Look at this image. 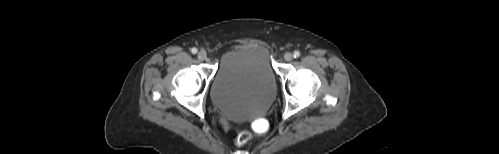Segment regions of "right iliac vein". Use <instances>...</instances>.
Segmentation results:
<instances>
[{
  "mask_svg": "<svg viewBox=\"0 0 499 154\" xmlns=\"http://www.w3.org/2000/svg\"><path fill=\"white\" fill-rule=\"evenodd\" d=\"M197 56L200 61H204L207 59V54L204 51H200Z\"/></svg>",
  "mask_w": 499,
  "mask_h": 154,
  "instance_id": "63e3f726",
  "label": "right iliac vein"
}]
</instances>
